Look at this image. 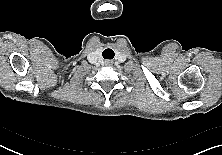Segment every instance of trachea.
I'll return each instance as SVG.
<instances>
[{
	"label": "trachea",
	"instance_id": "1",
	"mask_svg": "<svg viewBox=\"0 0 222 155\" xmlns=\"http://www.w3.org/2000/svg\"><path fill=\"white\" fill-rule=\"evenodd\" d=\"M104 59H113L114 58V51L112 49H105L102 53Z\"/></svg>",
	"mask_w": 222,
	"mask_h": 155
}]
</instances>
